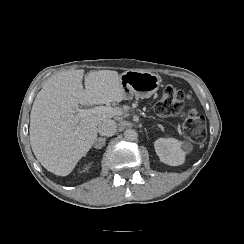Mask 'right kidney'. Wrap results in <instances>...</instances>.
<instances>
[{
  "label": "right kidney",
  "mask_w": 244,
  "mask_h": 244,
  "mask_svg": "<svg viewBox=\"0 0 244 244\" xmlns=\"http://www.w3.org/2000/svg\"><path fill=\"white\" fill-rule=\"evenodd\" d=\"M88 166H85L84 168H83V171H81V172H85V171H87L88 170Z\"/></svg>",
  "instance_id": "1"
}]
</instances>
